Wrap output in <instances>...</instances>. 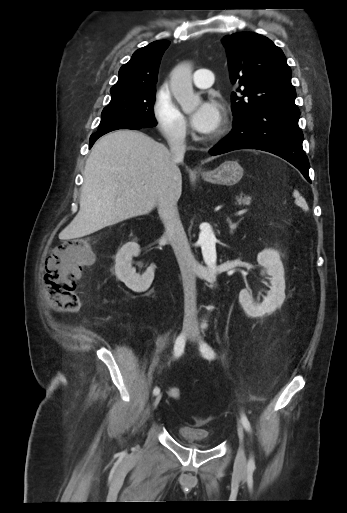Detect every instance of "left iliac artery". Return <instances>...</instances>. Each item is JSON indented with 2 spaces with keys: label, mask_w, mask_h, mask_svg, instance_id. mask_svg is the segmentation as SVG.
Returning a JSON list of instances; mask_svg holds the SVG:
<instances>
[{
  "label": "left iliac artery",
  "mask_w": 347,
  "mask_h": 513,
  "mask_svg": "<svg viewBox=\"0 0 347 513\" xmlns=\"http://www.w3.org/2000/svg\"><path fill=\"white\" fill-rule=\"evenodd\" d=\"M200 351L202 353V355L206 358V359H214L216 354L213 350V348L208 345L206 342H202L200 344ZM241 421H242V424L245 428L246 431L250 432L251 431V426H250V422L248 421L246 415L244 413H241ZM248 468L250 470H253L255 468V462H254V457L253 455L251 454L250 456V459L248 461Z\"/></svg>",
  "instance_id": "left-iliac-artery-1"
}]
</instances>
